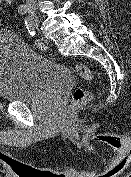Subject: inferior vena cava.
Returning a JSON list of instances; mask_svg holds the SVG:
<instances>
[{"label":"inferior vena cava","mask_w":131,"mask_h":177,"mask_svg":"<svg viewBox=\"0 0 131 177\" xmlns=\"http://www.w3.org/2000/svg\"><path fill=\"white\" fill-rule=\"evenodd\" d=\"M26 1H27L28 6L30 7H34L36 5V0H26Z\"/></svg>","instance_id":"inferior-vena-cava-1"}]
</instances>
